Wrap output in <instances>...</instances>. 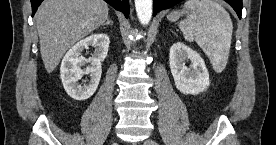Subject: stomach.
I'll return each instance as SVG.
<instances>
[{"label":"stomach","instance_id":"obj_1","mask_svg":"<svg viewBox=\"0 0 276 145\" xmlns=\"http://www.w3.org/2000/svg\"><path fill=\"white\" fill-rule=\"evenodd\" d=\"M186 12L183 11H174L171 14L168 15V19L170 21H175L177 19H179L181 16H183Z\"/></svg>","mask_w":276,"mask_h":145}]
</instances>
